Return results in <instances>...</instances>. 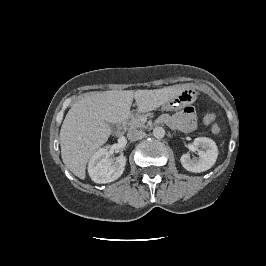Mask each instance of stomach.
Masks as SVG:
<instances>
[{"instance_id": "1", "label": "stomach", "mask_w": 266, "mask_h": 266, "mask_svg": "<svg viewBox=\"0 0 266 266\" xmlns=\"http://www.w3.org/2000/svg\"><path fill=\"white\" fill-rule=\"evenodd\" d=\"M195 100V90L190 86H185L179 93L163 104L162 108L164 110H177L193 103Z\"/></svg>"}]
</instances>
